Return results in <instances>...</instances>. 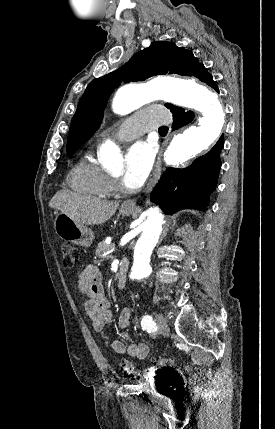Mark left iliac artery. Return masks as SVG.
Returning a JSON list of instances; mask_svg holds the SVG:
<instances>
[{
    "instance_id": "44dca946",
    "label": "left iliac artery",
    "mask_w": 275,
    "mask_h": 429,
    "mask_svg": "<svg viewBox=\"0 0 275 429\" xmlns=\"http://www.w3.org/2000/svg\"><path fill=\"white\" fill-rule=\"evenodd\" d=\"M141 326L143 329L149 330L155 327V323L150 315H146L141 320Z\"/></svg>"
}]
</instances>
